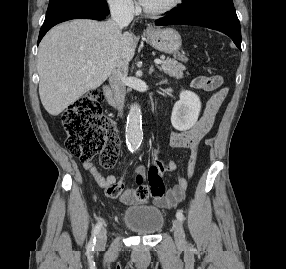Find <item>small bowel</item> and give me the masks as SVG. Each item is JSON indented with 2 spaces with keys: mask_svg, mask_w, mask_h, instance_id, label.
Wrapping results in <instances>:
<instances>
[{
  "mask_svg": "<svg viewBox=\"0 0 286 269\" xmlns=\"http://www.w3.org/2000/svg\"><path fill=\"white\" fill-rule=\"evenodd\" d=\"M197 78L215 77L200 76ZM218 111L219 110H204L202 116L192 128L183 132H173L171 134L169 144L173 149L176 151H189L187 160V177L179 174L177 177V185L171 188L166 195L153 197V202L157 206L172 209L181 201L187 189L188 181L192 178L195 172L196 162L198 159V145L203 137L211 130ZM82 167L91 173L95 182L101 188L107 190L116 181V177L114 175H102L95 164L90 161L82 162ZM168 169L171 171H176L178 169V165L173 158H170L168 161ZM135 170L139 175H144L145 173V168L141 164H137ZM119 199L126 203L142 201V199L136 196V192L132 189H125Z\"/></svg>",
  "mask_w": 286,
  "mask_h": 269,
  "instance_id": "c3829d8e",
  "label": "small bowel"
}]
</instances>
